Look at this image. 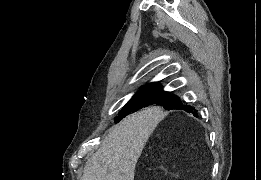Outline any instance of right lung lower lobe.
I'll return each mask as SVG.
<instances>
[{
	"mask_svg": "<svg viewBox=\"0 0 261 180\" xmlns=\"http://www.w3.org/2000/svg\"><path fill=\"white\" fill-rule=\"evenodd\" d=\"M175 109H182L185 110L187 112H191V110L193 109L191 106H186V105H182L181 103L175 107Z\"/></svg>",
	"mask_w": 261,
	"mask_h": 180,
	"instance_id": "right-lung-lower-lobe-1",
	"label": "right lung lower lobe"
}]
</instances>
